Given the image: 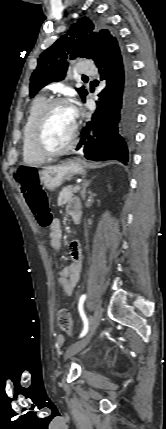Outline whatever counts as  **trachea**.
<instances>
[{
	"label": "trachea",
	"mask_w": 166,
	"mask_h": 429,
	"mask_svg": "<svg viewBox=\"0 0 166 429\" xmlns=\"http://www.w3.org/2000/svg\"><path fill=\"white\" fill-rule=\"evenodd\" d=\"M83 80H88V77H87V76H84V77H83Z\"/></svg>",
	"instance_id": "trachea-1"
}]
</instances>
